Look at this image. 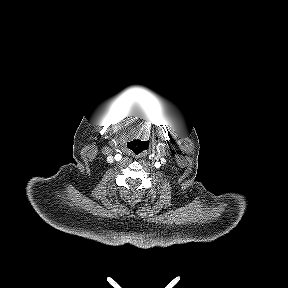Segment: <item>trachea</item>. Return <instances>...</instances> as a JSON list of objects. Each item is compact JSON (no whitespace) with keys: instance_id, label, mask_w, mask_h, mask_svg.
<instances>
[{"instance_id":"3493384b","label":"trachea","mask_w":288,"mask_h":288,"mask_svg":"<svg viewBox=\"0 0 288 288\" xmlns=\"http://www.w3.org/2000/svg\"><path fill=\"white\" fill-rule=\"evenodd\" d=\"M148 146V141H143L142 139H132L127 143V148L135 156L145 153Z\"/></svg>"}]
</instances>
